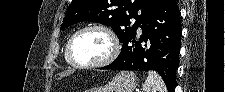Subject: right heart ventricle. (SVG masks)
I'll use <instances>...</instances> for the list:
<instances>
[{
  "instance_id": "right-heart-ventricle-1",
  "label": "right heart ventricle",
  "mask_w": 225,
  "mask_h": 92,
  "mask_svg": "<svg viewBox=\"0 0 225 92\" xmlns=\"http://www.w3.org/2000/svg\"><path fill=\"white\" fill-rule=\"evenodd\" d=\"M64 56H65V60L68 62L67 56H66V50H65ZM68 63H69V62H68Z\"/></svg>"
}]
</instances>
